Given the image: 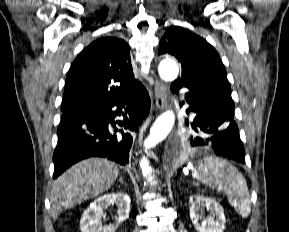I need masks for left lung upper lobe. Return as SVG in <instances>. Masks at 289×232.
<instances>
[{"instance_id": "1", "label": "left lung upper lobe", "mask_w": 289, "mask_h": 232, "mask_svg": "<svg viewBox=\"0 0 289 232\" xmlns=\"http://www.w3.org/2000/svg\"><path fill=\"white\" fill-rule=\"evenodd\" d=\"M159 54L175 56L182 66V77L175 83L190 91L206 93L234 106L226 70L217 51L203 38L181 27H171L160 41ZM187 136L182 146L187 147Z\"/></svg>"}]
</instances>
